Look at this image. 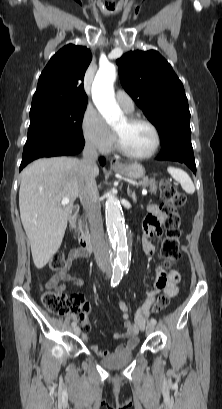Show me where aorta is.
Returning <instances> with one entry per match:
<instances>
[{"mask_svg": "<svg viewBox=\"0 0 222 409\" xmlns=\"http://www.w3.org/2000/svg\"><path fill=\"white\" fill-rule=\"evenodd\" d=\"M116 69L112 64L99 68L92 84L93 102L109 125H115L122 117L114 98L113 84ZM106 227L113 263L116 268L124 270L130 258L129 231L125 225L119 200L113 193L107 194Z\"/></svg>", "mask_w": 222, "mask_h": 409, "instance_id": "1", "label": "aorta"}]
</instances>
